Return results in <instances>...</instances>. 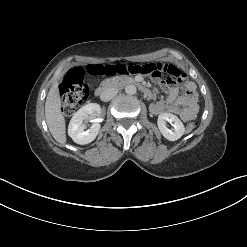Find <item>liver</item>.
<instances>
[{"instance_id": "6515ba94", "label": "liver", "mask_w": 247, "mask_h": 247, "mask_svg": "<svg viewBox=\"0 0 247 247\" xmlns=\"http://www.w3.org/2000/svg\"><path fill=\"white\" fill-rule=\"evenodd\" d=\"M45 117L48 128L54 139L60 143H66L65 118L61 112V100L58 91V83H54L47 95L45 103Z\"/></svg>"}]
</instances>
